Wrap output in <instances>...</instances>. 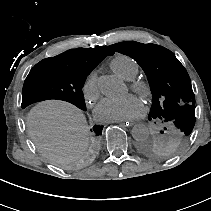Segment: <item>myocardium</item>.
<instances>
[{
    "instance_id": "f54148a6",
    "label": "myocardium",
    "mask_w": 211,
    "mask_h": 211,
    "mask_svg": "<svg viewBox=\"0 0 211 211\" xmlns=\"http://www.w3.org/2000/svg\"><path fill=\"white\" fill-rule=\"evenodd\" d=\"M130 90L142 97L146 103H150L152 101V88L147 81L133 79L130 83Z\"/></svg>"
}]
</instances>
